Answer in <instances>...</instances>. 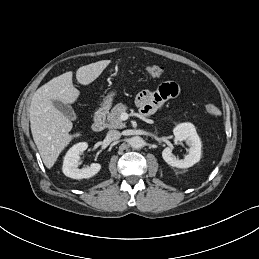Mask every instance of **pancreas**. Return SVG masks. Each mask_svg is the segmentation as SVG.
I'll return each instance as SVG.
<instances>
[{
	"label": "pancreas",
	"mask_w": 259,
	"mask_h": 259,
	"mask_svg": "<svg viewBox=\"0 0 259 259\" xmlns=\"http://www.w3.org/2000/svg\"><path fill=\"white\" fill-rule=\"evenodd\" d=\"M127 111V106L122 104V103H118L117 105H115L111 112L108 113L107 115V127L108 128H118V129H122L125 127V123H123V121L120 119V116L122 113H126Z\"/></svg>",
	"instance_id": "1"
}]
</instances>
